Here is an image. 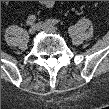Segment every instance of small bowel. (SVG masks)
Masks as SVG:
<instances>
[{"label":"small bowel","mask_w":109,"mask_h":109,"mask_svg":"<svg viewBox=\"0 0 109 109\" xmlns=\"http://www.w3.org/2000/svg\"><path fill=\"white\" fill-rule=\"evenodd\" d=\"M54 4H55L54 1H42V5L47 8H52L54 6Z\"/></svg>","instance_id":"1"}]
</instances>
